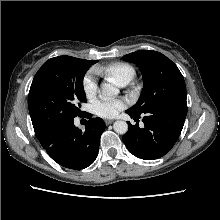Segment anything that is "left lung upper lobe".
Here are the masks:
<instances>
[{
	"label": "left lung upper lobe",
	"instance_id": "left-lung-upper-lobe-1",
	"mask_svg": "<svg viewBox=\"0 0 220 220\" xmlns=\"http://www.w3.org/2000/svg\"><path fill=\"white\" fill-rule=\"evenodd\" d=\"M136 63L143 75L144 86L138 102L128 111L145 114L162 103L186 100L184 78L177 66L157 51L138 50L123 56Z\"/></svg>",
	"mask_w": 220,
	"mask_h": 220
}]
</instances>
